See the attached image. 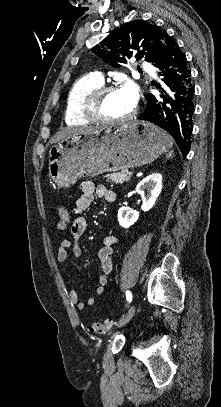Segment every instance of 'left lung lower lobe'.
<instances>
[{
    "mask_svg": "<svg viewBox=\"0 0 221 407\" xmlns=\"http://www.w3.org/2000/svg\"><path fill=\"white\" fill-rule=\"evenodd\" d=\"M165 86L157 88L160 98L149 94L144 112L138 119L165 129L175 139L185 157L190 149L193 129L194 87L185 54L173 40L167 44L162 59L155 65Z\"/></svg>",
    "mask_w": 221,
    "mask_h": 407,
    "instance_id": "obj_1",
    "label": "left lung lower lobe"
}]
</instances>
